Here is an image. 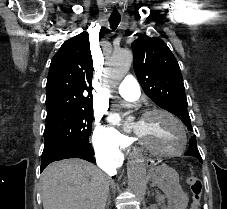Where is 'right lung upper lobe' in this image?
Masks as SVG:
<instances>
[{"label": "right lung upper lobe", "instance_id": "1", "mask_svg": "<svg viewBox=\"0 0 227 209\" xmlns=\"http://www.w3.org/2000/svg\"><path fill=\"white\" fill-rule=\"evenodd\" d=\"M93 61L83 32L65 41L52 58L46 84V106L55 99L92 98Z\"/></svg>", "mask_w": 227, "mask_h": 209}]
</instances>
